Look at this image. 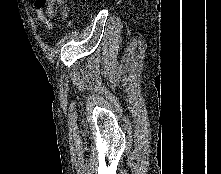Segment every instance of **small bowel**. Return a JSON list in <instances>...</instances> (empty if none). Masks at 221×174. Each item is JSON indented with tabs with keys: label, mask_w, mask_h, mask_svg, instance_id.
I'll list each match as a JSON object with an SVG mask.
<instances>
[{
	"label": "small bowel",
	"mask_w": 221,
	"mask_h": 174,
	"mask_svg": "<svg viewBox=\"0 0 221 174\" xmlns=\"http://www.w3.org/2000/svg\"><path fill=\"white\" fill-rule=\"evenodd\" d=\"M35 4H36V9H35V13H36V17L37 19L42 22L45 27L49 30H52L53 29V24L52 22L48 19V17L46 16L45 12H44V8L43 7H40L36 1H35ZM62 15L63 17L66 19L68 16H69V12L67 9H64L63 12H62Z\"/></svg>",
	"instance_id": "c3829d8e"
}]
</instances>
